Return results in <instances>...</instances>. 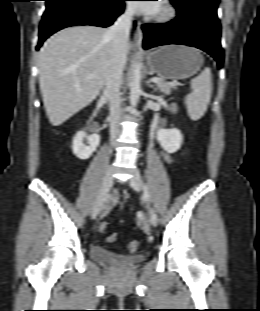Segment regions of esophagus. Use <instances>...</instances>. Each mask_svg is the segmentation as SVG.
I'll list each match as a JSON object with an SVG mask.
<instances>
[{"instance_id": "esophagus-1", "label": "esophagus", "mask_w": 260, "mask_h": 311, "mask_svg": "<svg viewBox=\"0 0 260 311\" xmlns=\"http://www.w3.org/2000/svg\"><path fill=\"white\" fill-rule=\"evenodd\" d=\"M143 40V35L141 31V22L138 21L137 23V30H136V37H135V44L137 46H141Z\"/></svg>"}]
</instances>
